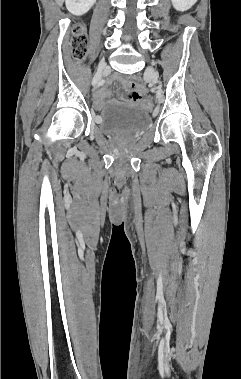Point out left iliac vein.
<instances>
[{
	"mask_svg": "<svg viewBox=\"0 0 241 379\" xmlns=\"http://www.w3.org/2000/svg\"><path fill=\"white\" fill-rule=\"evenodd\" d=\"M146 75L148 76V78L150 79V81L153 83V84H156L157 83V80H158V74L157 72L155 71V69L153 67H148L146 69Z\"/></svg>",
	"mask_w": 241,
	"mask_h": 379,
	"instance_id": "4c4485c4",
	"label": "left iliac vein"
}]
</instances>
